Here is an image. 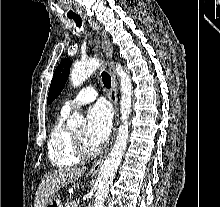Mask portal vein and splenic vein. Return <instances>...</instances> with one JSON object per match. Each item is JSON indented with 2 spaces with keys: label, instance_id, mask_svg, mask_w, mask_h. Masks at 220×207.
I'll list each match as a JSON object with an SVG mask.
<instances>
[{
  "label": "portal vein and splenic vein",
  "instance_id": "portal-vein-and-splenic-vein-1",
  "mask_svg": "<svg viewBox=\"0 0 220 207\" xmlns=\"http://www.w3.org/2000/svg\"><path fill=\"white\" fill-rule=\"evenodd\" d=\"M79 203H80L79 200L76 199L73 201V206L77 207L79 205Z\"/></svg>",
  "mask_w": 220,
  "mask_h": 207
}]
</instances>
